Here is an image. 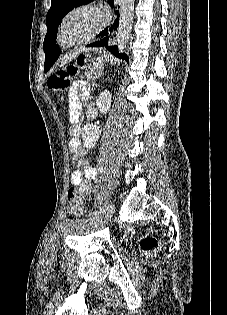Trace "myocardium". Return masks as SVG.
<instances>
[{
    "mask_svg": "<svg viewBox=\"0 0 227 315\" xmlns=\"http://www.w3.org/2000/svg\"><path fill=\"white\" fill-rule=\"evenodd\" d=\"M80 12H88L93 14L97 18V23L94 28L84 34L83 36L73 40V41H65V28L68 20L76 13ZM107 23V16L103 9L95 3H82L77 4L70 9H68L62 18L57 27L55 42L60 48L69 49L73 47H77L83 45L93 38L98 36L100 32L104 29Z\"/></svg>",
    "mask_w": 227,
    "mask_h": 315,
    "instance_id": "myocardium-1",
    "label": "myocardium"
}]
</instances>
